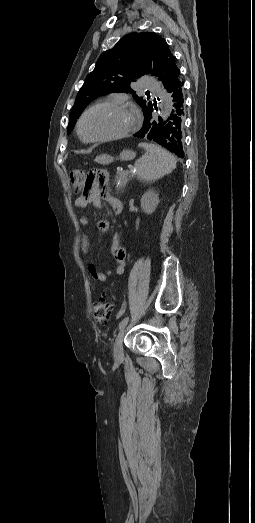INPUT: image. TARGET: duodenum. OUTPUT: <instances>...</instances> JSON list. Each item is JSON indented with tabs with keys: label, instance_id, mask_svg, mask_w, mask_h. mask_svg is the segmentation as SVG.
Segmentation results:
<instances>
[{
	"label": "duodenum",
	"instance_id": "1",
	"mask_svg": "<svg viewBox=\"0 0 255 523\" xmlns=\"http://www.w3.org/2000/svg\"><path fill=\"white\" fill-rule=\"evenodd\" d=\"M112 207L116 213H120L123 209L122 202L119 199L112 201Z\"/></svg>",
	"mask_w": 255,
	"mask_h": 523
}]
</instances>
